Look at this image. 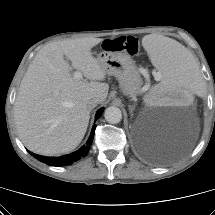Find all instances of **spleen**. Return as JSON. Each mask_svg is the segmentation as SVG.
Instances as JSON below:
<instances>
[{
    "label": "spleen",
    "instance_id": "obj_1",
    "mask_svg": "<svg viewBox=\"0 0 215 215\" xmlns=\"http://www.w3.org/2000/svg\"><path fill=\"white\" fill-rule=\"evenodd\" d=\"M142 44L152 64L163 75L162 82L154 87L175 86L183 93L188 91L193 95L200 94L204 84L197 73L200 62L194 53L186 51L175 41L156 36L144 37Z\"/></svg>",
    "mask_w": 215,
    "mask_h": 215
}]
</instances>
